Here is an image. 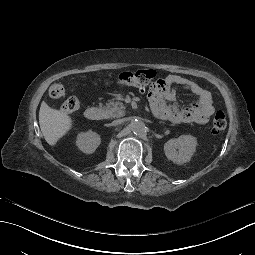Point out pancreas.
<instances>
[{"label":"pancreas","mask_w":255,"mask_h":255,"mask_svg":"<svg viewBox=\"0 0 255 255\" xmlns=\"http://www.w3.org/2000/svg\"><path fill=\"white\" fill-rule=\"evenodd\" d=\"M105 111L110 117L114 118L123 117L125 115V107L121 102L107 103Z\"/></svg>","instance_id":"pancreas-1"}]
</instances>
